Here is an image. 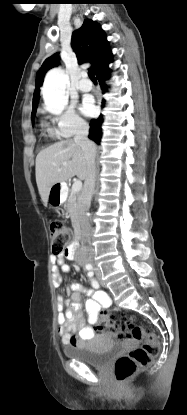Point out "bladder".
<instances>
[{
	"label": "bladder",
	"instance_id": "31cf9c89",
	"mask_svg": "<svg viewBox=\"0 0 187 415\" xmlns=\"http://www.w3.org/2000/svg\"><path fill=\"white\" fill-rule=\"evenodd\" d=\"M121 345H114L109 349L94 352L81 346H66L63 351L67 358L79 360L95 368H104L116 356Z\"/></svg>",
	"mask_w": 187,
	"mask_h": 415
}]
</instances>
